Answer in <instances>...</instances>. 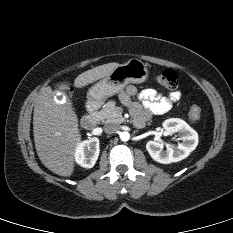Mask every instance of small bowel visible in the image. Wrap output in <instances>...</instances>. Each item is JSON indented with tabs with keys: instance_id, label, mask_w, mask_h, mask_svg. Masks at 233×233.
Wrapping results in <instances>:
<instances>
[{
	"instance_id": "obj_1",
	"label": "small bowel",
	"mask_w": 233,
	"mask_h": 233,
	"mask_svg": "<svg viewBox=\"0 0 233 233\" xmlns=\"http://www.w3.org/2000/svg\"><path fill=\"white\" fill-rule=\"evenodd\" d=\"M132 97H138L139 102L132 101ZM180 98L181 92L178 90L164 94L151 88L138 91L133 85L127 86L120 94V99L129 106L137 125L149 120L153 114L166 113Z\"/></svg>"
}]
</instances>
